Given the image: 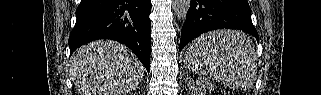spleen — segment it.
<instances>
[{
    "instance_id": "obj_1",
    "label": "spleen",
    "mask_w": 321,
    "mask_h": 95,
    "mask_svg": "<svg viewBox=\"0 0 321 95\" xmlns=\"http://www.w3.org/2000/svg\"><path fill=\"white\" fill-rule=\"evenodd\" d=\"M257 54L249 37L239 31H213L192 41L184 63L231 89L248 90L257 74Z\"/></svg>"
}]
</instances>
